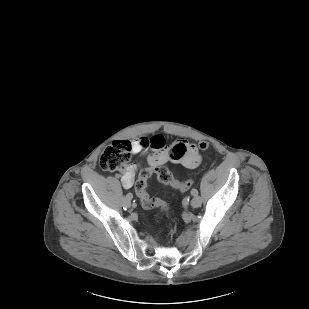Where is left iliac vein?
<instances>
[{
  "label": "left iliac vein",
  "instance_id": "4c4485c4",
  "mask_svg": "<svg viewBox=\"0 0 309 309\" xmlns=\"http://www.w3.org/2000/svg\"><path fill=\"white\" fill-rule=\"evenodd\" d=\"M191 206L193 208H197L202 204V198L198 195H196L192 200H191Z\"/></svg>",
  "mask_w": 309,
  "mask_h": 309
}]
</instances>
